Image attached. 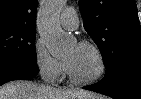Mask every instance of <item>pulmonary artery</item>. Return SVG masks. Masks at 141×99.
I'll return each instance as SVG.
<instances>
[{"instance_id": "pulmonary-artery-1", "label": "pulmonary artery", "mask_w": 141, "mask_h": 99, "mask_svg": "<svg viewBox=\"0 0 141 99\" xmlns=\"http://www.w3.org/2000/svg\"><path fill=\"white\" fill-rule=\"evenodd\" d=\"M61 26L67 30H74L78 27L79 20L73 8L65 9L60 17Z\"/></svg>"}]
</instances>
